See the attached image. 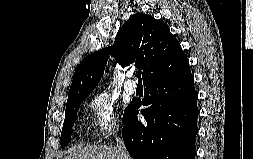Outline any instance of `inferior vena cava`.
<instances>
[{
  "label": "inferior vena cava",
  "instance_id": "1",
  "mask_svg": "<svg viewBox=\"0 0 253 159\" xmlns=\"http://www.w3.org/2000/svg\"><path fill=\"white\" fill-rule=\"evenodd\" d=\"M116 142H117L116 150L119 154V159H131L127 150H126L123 140L121 138L117 137Z\"/></svg>",
  "mask_w": 253,
  "mask_h": 159
}]
</instances>
